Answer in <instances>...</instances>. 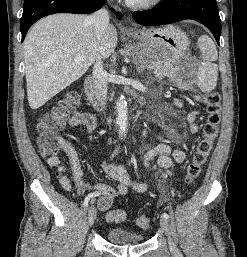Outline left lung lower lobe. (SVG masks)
I'll list each match as a JSON object with an SVG mask.
<instances>
[{
  "mask_svg": "<svg viewBox=\"0 0 247 257\" xmlns=\"http://www.w3.org/2000/svg\"><path fill=\"white\" fill-rule=\"evenodd\" d=\"M136 22L145 26L164 25L185 19L205 25L219 44L221 20L216 0H163L161 5L133 13Z\"/></svg>",
  "mask_w": 247,
  "mask_h": 257,
  "instance_id": "0a47b994",
  "label": "left lung lower lobe"
}]
</instances>
